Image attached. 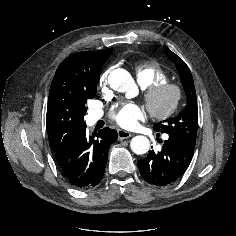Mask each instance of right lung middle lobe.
<instances>
[{
	"label": "right lung middle lobe",
	"instance_id": "obj_1",
	"mask_svg": "<svg viewBox=\"0 0 236 236\" xmlns=\"http://www.w3.org/2000/svg\"><path fill=\"white\" fill-rule=\"evenodd\" d=\"M111 53H112V50L107 51L102 54V56L100 57L101 66L109 58ZM98 80H99V76L96 77L95 79H93L92 81L87 82L85 85H83L79 89V97H80V101H81V105H82V109H83L84 114L86 113V110H87V108L85 107L87 100L93 99L96 96Z\"/></svg>",
	"mask_w": 236,
	"mask_h": 236
}]
</instances>
